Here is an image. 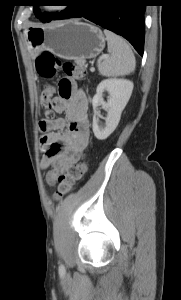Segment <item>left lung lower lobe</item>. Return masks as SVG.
Masks as SVG:
<instances>
[{
    "label": "left lung lower lobe",
    "mask_w": 181,
    "mask_h": 300,
    "mask_svg": "<svg viewBox=\"0 0 181 300\" xmlns=\"http://www.w3.org/2000/svg\"><path fill=\"white\" fill-rule=\"evenodd\" d=\"M146 5L143 0H78L52 19L84 17L126 38L143 56Z\"/></svg>",
    "instance_id": "0a47b994"
}]
</instances>
